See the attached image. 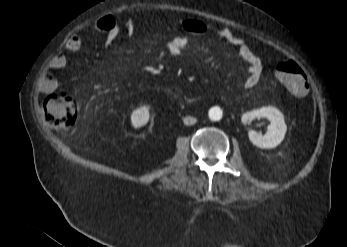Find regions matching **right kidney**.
<instances>
[{"instance_id":"ca27d5eb","label":"right kidney","mask_w":347,"mask_h":247,"mask_svg":"<svg viewBox=\"0 0 347 247\" xmlns=\"http://www.w3.org/2000/svg\"><path fill=\"white\" fill-rule=\"evenodd\" d=\"M149 120V106H142L131 114V124L135 128L145 125Z\"/></svg>"}]
</instances>
